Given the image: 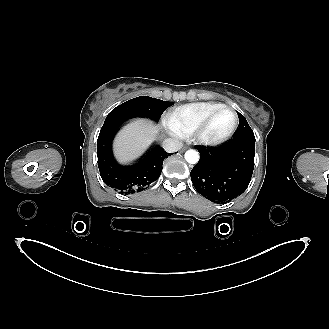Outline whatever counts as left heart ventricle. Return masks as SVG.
Returning <instances> with one entry per match:
<instances>
[{"label":"left heart ventricle","instance_id":"1","mask_svg":"<svg viewBox=\"0 0 329 329\" xmlns=\"http://www.w3.org/2000/svg\"><path fill=\"white\" fill-rule=\"evenodd\" d=\"M233 124V112L231 110H223L212 119L204 135L208 138H220L231 130Z\"/></svg>","mask_w":329,"mask_h":329}]
</instances>
